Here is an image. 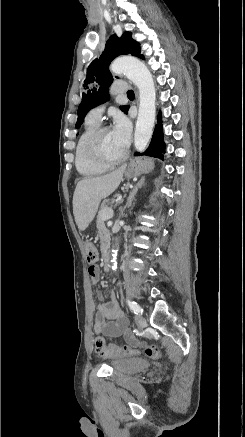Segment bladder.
<instances>
[{"label": "bladder", "instance_id": "1", "mask_svg": "<svg viewBox=\"0 0 245 437\" xmlns=\"http://www.w3.org/2000/svg\"><path fill=\"white\" fill-rule=\"evenodd\" d=\"M147 361L137 357H116L111 360V366L117 373H134L147 366Z\"/></svg>", "mask_w": 245, "mask_h": 437}]
</instances>
